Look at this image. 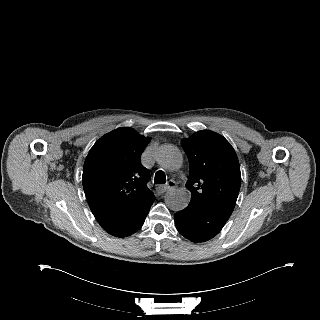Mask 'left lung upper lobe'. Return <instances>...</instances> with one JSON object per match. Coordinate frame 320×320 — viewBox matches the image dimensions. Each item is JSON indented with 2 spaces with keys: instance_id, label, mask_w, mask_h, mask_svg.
<instances>
[{
  "instance_id": "1",
  "label": "left lung upper lobe",
  "mask_w": 320,
  "mask_h": 320,
  "mask_svg": "<svg viewBox=\"0 0 320 320\" xmlns=\"http://www.w3.org/2000/svg\"><path fill=\"white\" fill-rule=\"evenodd\" d=\"M190 164L186 187L191 200L204 202L232 214L241 185L237 155L222 136L199 131L181 141Z\"/></svg>"
}]
</instances>
